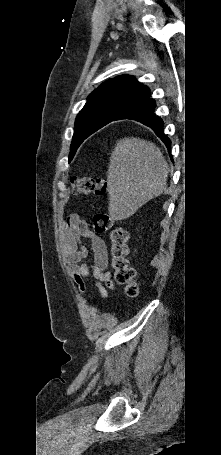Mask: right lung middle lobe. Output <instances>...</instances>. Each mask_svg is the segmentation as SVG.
<instances>
[{"label": "right lung middle lobe", "mask_w": 221, "mask_h": 455, "mask_svg": "<svg viewBox=\"0 0 221 455\" xmlns=\"http://www.w3.org/2000/svg\"><path fill=\"white\" fill-rule=\"evenodd\" d=\"M123 112L122 108L109 104L84 106L77 115L74 135L71 143L69 162L74 157L80 144L92 133L117 119Z\"/></svg>", "instance_id": "obj_1"}]
</instances>
